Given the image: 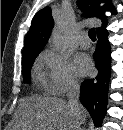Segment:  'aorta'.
Listing matches in <instances>:
<instances>
[{"instance_id":"762f6f07","label":"aorta","mask_w":123,"mask_h":130,"mask_svg":"<svg viewBox=\"0 0 123 130\" xmlns=\"http://www.w3.org/2000/svg\"><path fill=\"white\" fill-rule=\"evenodd\" d=\"M51 41L56 50H60L66 45V36L61 26H57L53 29Z\"/></svg>"}]
</instances>
